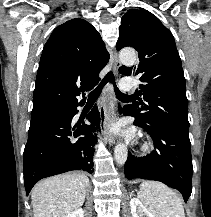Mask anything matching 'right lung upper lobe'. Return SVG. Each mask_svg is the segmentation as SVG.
I'll return each instance as SVG.
<instances>
[{"instance_id":"right-lung-upper-lobe-1","label":"right lung upper lobe","mask_w":211,"mask_h":217,"mask_svg":"<svg viewBox=\"0 0 211 217\" xmlns=\"http://www.w3.org/2000/svg\"><path fill=\"white\" fill-rule=\"evenodd\" d=\"M108 60L100 34L87 21L75 18L55 28L42 51L31 119L78 104L80 91L97 85Z\"/></svg>"}]
</instances>
